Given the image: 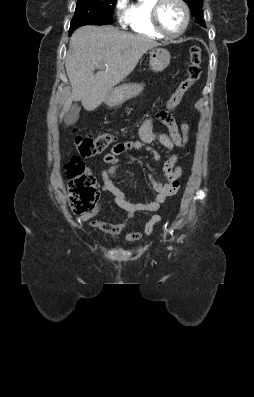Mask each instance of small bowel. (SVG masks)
Instances as JSON below:
<instances>
[{
    "instance_id": "small-bowel-1",
    "label": "small bowel",
    "mask_w": 254,
    "mask_h": 397,
    "mask_svg": "<svg viewBox=\"0 0 254 397\" xmlns=\"http://www.w3.org/2000/svg\"><path fill=\"white\" fill-rule=\"evenodd\" d=\"M157 119L167 127L168 133L154 132V118L147 117L139 128L140 140L118 143L103 156V161L108 167L102 168L100 172L103 181L101 191L107 193L116 205L126 212V218L117 224L96 220L95 217L99 214L102 207L101 202H99L92 211L78 217V221H89V225L98 232L110 238H117L136 213L155 212L170 196L177 193L180 187L179 178L183 170L177 164L178 157L176 154L171 155L164 163L163 173L168 180L166 184L156 181L151 173L147 174L148 181L156 192V195L151 200L134 201L127 197L116 185V182H122L118 175L120 168L119 156L125 152L143 149L151 155L152 161L157 163L160 160V155L153 147V144H158L168 150H174L185 145L189 130L186 122L178 125L175 119L164 110L157 114ZM160 220L161 218L158 215L152 216L145 224L143 231L128 233L125 239L133 242L149 236Z\"/></svg>"
}]
</instances>
